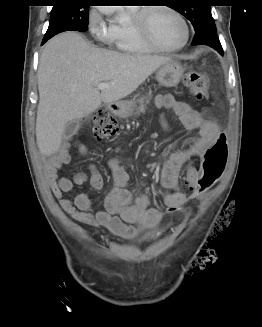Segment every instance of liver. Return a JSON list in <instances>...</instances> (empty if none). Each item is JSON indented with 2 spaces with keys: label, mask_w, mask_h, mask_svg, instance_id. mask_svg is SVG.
I'll use <instances>...</instances> for the list:
<instances>
[{
  "label": "liver",
  "mask_w": 262,
  "mask_h": 327,
  "mask_svg": "<svg viewBox=\"0 0 262 327\" xmlns=\"http://www.w3.org/2000/svg\"><path fill=\"white\" fill-rule=\"evenodd\" d=\"M170 57L125 54L89 45L76 32L49 40L38 67L36 141L41 154L56 153L68 122L87 117L101 103L112 104L134 92ZM99 83L111 87L97 89Z\"/></svg>",
  "instance_id": "obj_1"
}]
</instances>
